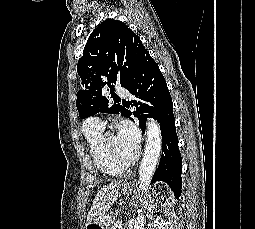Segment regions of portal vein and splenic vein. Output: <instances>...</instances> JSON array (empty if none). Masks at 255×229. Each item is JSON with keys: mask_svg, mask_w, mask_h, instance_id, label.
<instances>
[{"mask_svg": "<svg viewBox=\"0 0 255 229\" xmlns=\"http://www.w3.org/2000/svg\"><path fill=\"white\" fill-rule=\"evenodd\" d=\"M117 228H119V229L122 228V224L118 223Z\"/></svg>", "mask_w": 255, "mask_h": 229, "instance_id": "portal-vein-and-splenic-vein-1", "label": "portal vein and splenic vein"}]
</instances>
